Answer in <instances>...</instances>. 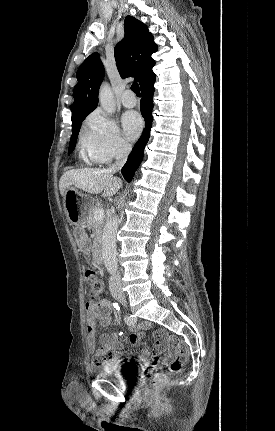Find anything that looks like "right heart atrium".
I'll list each match as a JSON object with an SVG mask.
<instances>
[{
    "label": "right heart atrium",
    "mask_w": 275,
    "mask_h": 431,
    "mask_svg": "<svg viewBox=\"0 0 275 431\" xmlns=\"http://www.w3.org/2000/svg\"><path fill=\"white\" fill-rule=\"evenodd\" d=\"M79 143L82 152L96 164H107L130 150L116 121L101 110H95L86 118Z\"/></svg>",
    "instance_id": "1"
}]
</instances>
